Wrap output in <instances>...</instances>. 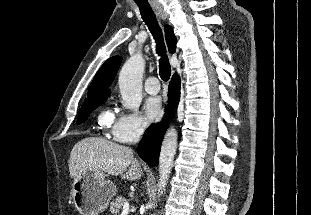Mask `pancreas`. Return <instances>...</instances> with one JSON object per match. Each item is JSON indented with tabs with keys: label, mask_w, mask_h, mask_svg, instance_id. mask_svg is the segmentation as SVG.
<instances>
[{
	"label": "pancreas",
	"mask_w": 311,
	"mask_h": 215,
	"mask_svg": "<svg viewBox=\"0 0 311 215\" xmlns=\"http://www.w3.org/2000/svg\"><path fill=\"white\" fill-rule=\"evenodd\" d=\"M126 202V199L122 196H118L110 203V212L113 215H117L120 212L121 207Z\"/></svg>",
	"instance_id": "cf45deb5"
}]
</instances>
